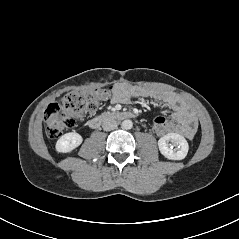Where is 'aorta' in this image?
Wrapping results in <instances>:
<instances>
[{
  "label": "aorta",
  "mask_w": 239,
  "mask_h": 239,
  "mask_svg": "<svg viewBox=\"0 0 239 239\" xmlns=\"http://www.w3.org/2000/svg\"><path fill=\"white\" fill-rule=\"evenodd\" d=\"M122 128L125 129V130H129L133 127V123L131 120H124L121 124Z\"/></svg>",
  "instance_id": "1"
}]
</instances>
